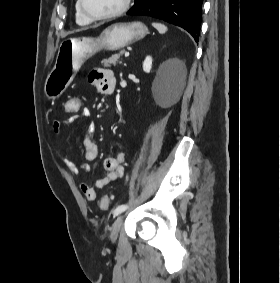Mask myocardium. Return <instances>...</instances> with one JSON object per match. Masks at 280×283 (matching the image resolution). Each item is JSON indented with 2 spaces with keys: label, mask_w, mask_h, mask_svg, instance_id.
Returning <instances> with one entry per match:
<instances>
[{
  "label": "myocardium",
  "mask_w": 280,
  "mask_h": 283,
  "mask_svg": "<svg viewBox=\"0 0 280 283\" xmlns=\"http://www.w3.org/2000/svg\"><path fill=\"white\" fill-rule=\"evenodd\" d=\"M80 9L83 13V15L91 20V21H101V20H109L116 18L122 14H124L131 6L132 0H124L121 7L111 13L103 14V15H94L91 12H89L85 7V1L84 0H78Z\"/></svg>",
  "instance_id": "myocardium-1"
}]
</instances>
